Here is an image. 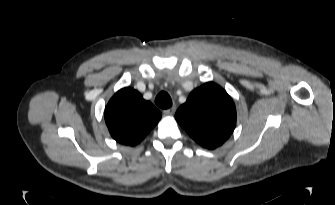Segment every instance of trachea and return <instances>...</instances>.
<instances>
[{"label":"trachea","mask_w":335,"mask_h":205,"mask_svg":"<svg viewBox=\"0 0 335 205\" xmlns=\"http://www.w3.org/2000/svg\"><path fill=\"white\" fill-rule=\"evenodd\" d=\"M155 103L158 107L162 108V109H168L172 106V100L171 97L169 96V94L167 92H160L156 99H155Z\"/></svg>","instance_id":"1"}]
</instances>
